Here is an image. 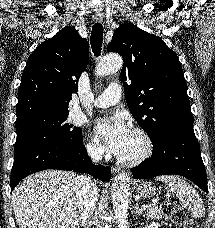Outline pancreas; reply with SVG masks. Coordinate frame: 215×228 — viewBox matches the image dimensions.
<instances>
[{"label": "pancreas", "instance_id": "1", "mask_svg": "<svg viewBox=\"0 0 215 228\" xmlns=\"http://www.w3.org/2000/svg\"><path fill=\"white\" fill-rule=\"evenodd\" d=\"M145 216L151 218V220H160L162 218V212L160 208H147Z\"/></svg>", "mask_w": 215, "mask_h": 228}]
</instances>
